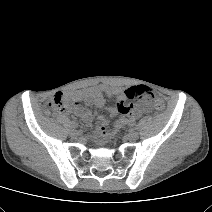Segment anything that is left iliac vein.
Returning a JSON list of instances; mask_svg holds the SVG:
<instances>
[{
    "label": "left iliac vein",
    "instance_id": "obj_1",
    "mask_svg": "<svg viewBox=\"0 0 212 212\" xmlns=\"http://www.w3.org/2000/svg\"><path fill=\"white\" fill-rule=\"evenodd\" d=\"M138 137H139V134H138V132L135 131V130H130V131L128 132V134H127V138H128V140H130V141H135V140L138 139Z\"/></svg>",
    "mask_w": 212,
    "mask_h": 212
}]
</instances>
